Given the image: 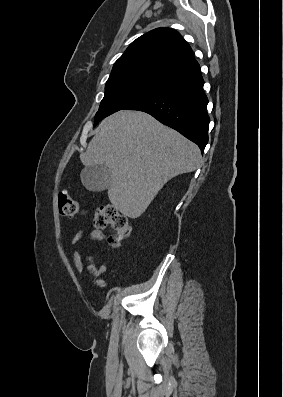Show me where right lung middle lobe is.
I'll use <instances>...</instances> for the list:
<instances>
[{
  "mask_svg": "<svg viewBox=\"0 0 283 397\" xmlns=\"http://www.w3.org/2000/svg\"><path fill=\"white\" fill-rule=\"evenodd\" d=\"M167 83L166 80L140 72L110 75L94 126L103 118L124 109Z\"/></svg>",
  "mask_w": 283,
  "mask_h": 397,
  "instance_id": "obj_1",
  "label": "right lung middle lobe"
}]
</instances>
